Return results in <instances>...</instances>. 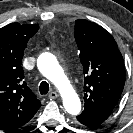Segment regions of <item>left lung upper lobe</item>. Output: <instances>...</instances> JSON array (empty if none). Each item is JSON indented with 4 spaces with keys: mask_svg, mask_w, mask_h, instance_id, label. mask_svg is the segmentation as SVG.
Returning a JSON list of instances; mask_svg holds the SVG:
<instances>
[{
    "mask_svg": "<svg viewBox=\"0 0 133 133\" xmlns=\"http://www.w3.org/2000/svg\"><path fill=\"white\" fill-rule=\"evenodd\" d=\"M75 40L84 72V111L108 118L124 87L123 57L114 38L88 20L75 21Z\"/></svg>",
    "mask_w": 133,
    "mask_h": 133,
    "instance_id": "1",
    "label": "left lung upper lobe"
}]
</instances>
